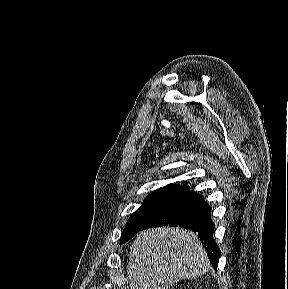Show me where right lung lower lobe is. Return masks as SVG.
Instances as JSON below:
<instances>
[{
  "instance_id": "obj_1",
  "label": "right lung lower lobe",
  "mask_w": 288,
  "mask_h": 289,
  "mask_svg": "<svg viewBox=\"0 0 288 289\" xmlns=\"http://www.w3.org/2000/svg\"><path fill=\"white\" fill-rule=\"evenodd\" d=\"M167 225L189 228L197 232L211 264L215 269L217 268L221 251L212 239L214 223L211 220V207L204 201L202 195L189 190L177 204L141 230Z\"/></svg>"
}]
</instances>
